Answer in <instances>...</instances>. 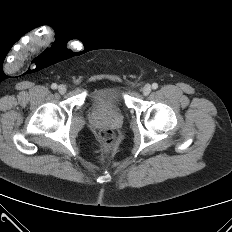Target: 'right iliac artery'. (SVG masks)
Listing matches in <instances>:
<instances>
[{"label":"right iliac artery","mask_w":232,"mask_h":232,"mask_svg":"<svg viewBox=\"0 0 232 232\" xmlns=\"http://www.w3.org/2000/svg\"><path fill=\"white\" fill-rule=\"evenodd\" d=\"M51 88H52V89H57V84L53 83V84L51 85Z\"/></svg>","instance_id":"82829eb1"}]
</instances>
